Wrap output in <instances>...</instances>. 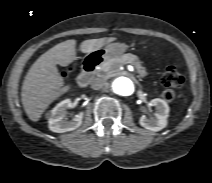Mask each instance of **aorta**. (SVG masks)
<instances>
[{
	"label": "aorta",
	"instance_id": "obj_1",
	"mask_svg": "<svg viewBox=\"0 0 212 183\" xmlns=\"http://www.w3.org/2000/svg\"><path fill=\"white\" fill-rule=\"evenodd\" d=\"M112 90L121 96H128L134 90L133 81L125 76L114 79L111 83Z\"/></svg>",
	"mask_w": 212,
	"mask_h": 183
}]
</instances>
